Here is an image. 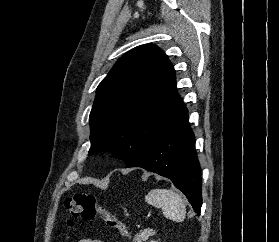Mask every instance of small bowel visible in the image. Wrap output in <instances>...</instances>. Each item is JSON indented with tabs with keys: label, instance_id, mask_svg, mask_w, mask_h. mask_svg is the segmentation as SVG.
I'll list each match as a JSON object with an SVG mask.
<instances>
[{
	"label": "small bowel",
	"instance_id": "small-bowel-1",
	"mask_svg": "<svg viewBox=\"0 0 279 242\" xmlns=\"http://www.w3.org/2000/svg\"><path fill=\"white\" fill-rule=\"evenodd\" d=\"M79 242H103L99 239H91V238H84V239H81Z\"/></svg>",
	"mask_w": 279,
	"mask_h": 242
}]
</instances>
